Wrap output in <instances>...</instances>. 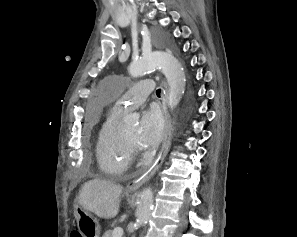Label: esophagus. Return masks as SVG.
<instances>
[{"label":"esophagus","instance_id":"1","mask_svg":"<svg viewBox=\"0 0 297 237\" xmlns=\"http://www.w3.org/2000/svg\"><path fill=\"white\" fill-rule=\"evenodd\" d=\"M162 111H163V115H164V137H163V143H162L161 150H160L157 158L155 159L154 163L152 164V166L150 168L144 170L142 172L141 176L130 181L127 184L126 189L128 191H135V190L139 189L145 182H147L152 176H154V174L157 172V170L162 165V163L170 149L171 142H172L173 126H172L171 117L167 110V105H166V100H165L164 95L162 96Z\"/></svg>","mask_w":297,"mask_h":237}]
</instances>
